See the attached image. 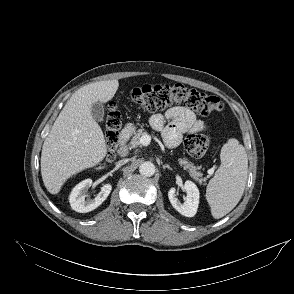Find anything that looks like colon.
I'll return each instance as SVG.
<instances>
[{"mask_svg":"<svg viewBox=\"0 0 294 294\" xmlns=\"http://www.w3.org/2000/svg\"><path fill=\"white\" fill-rule=\"evenodd\" d=\"M132 100L146 112H155L175 103H183L202 115L219 113L224 109L223 102L219 97L180 83L136 87L132 91ZM120 125V113L115 106H111L106 118V143L108 147L106 159L108 161L114 157ZM209 144V136L202 133L189 134L184 142L186 151L194 158L202 157Z\"/></svg>","mask_w":294,"mask_h":294,"instance_id":"colon-1","label":"colon"}]
</instances>
